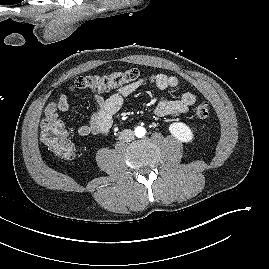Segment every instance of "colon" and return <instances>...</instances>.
Returning a JSON list of instances; mask_svg holds the SVG:
<instances>
[{"mask_svg":"<svg viewBox=\"0 0 269 269\" xmlns=\"http://www.w3.org/2000/svg\"><path fill=\"white\" fill-rule=\"evenodd\" d=\"M140 73L137 69L114 71L103 75H88L78 78L71 90L102 93L137 81ZM195 115L205 122L210 115L208 103L203 102L195 109ZM40 137L42 142L58 157L69 159L74 155V146L67 138L59 119L46 117L41 122Z\"/></svg>","mask_w":269,"mask_h":269,"instance_id":"5ec220e1","label":"colon"}]
</instances>
